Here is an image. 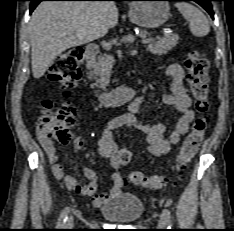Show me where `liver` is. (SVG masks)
<instances>
[{"mask_svg": "<svg viewBox=\"0 0 234 231\" xmlns=\"http://www.w3.org/2000/svg\"><path fill=\"white\" fill-rule=\"evenodd\" d=\"M117 23L118 10L113 2H41L28 27L34 78L42 77L62 52L103 37V26L113 28Z\"/></svg>", "mask_w": 234, "mask_h": 231, "instance_id": "1", "label": "liver"}]
</instances>
